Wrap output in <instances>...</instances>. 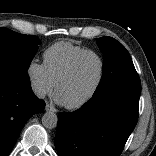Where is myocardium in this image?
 Instances as JSON below:
<instances>
[{
  "mask_svg": "<svg viewBox=\"0 0 156 156\" xmlns=\"http://www.w3.org/2000/svg\"><path fill=\"white\" fill-rule=\"evenodd\" d=\"M87 55H94L99 59L100 62V75L99 78L95 84V86L93 87V89L80 101L73 103V104H64V107L70 110H75V109H79L83 106H85L87 103H89L98 93V91L100 90L104 78H105V72H106V65H105V60L103 58V56L97 52L96 50H92V49H88L85 50L81 53H79L77 56H75L73 58V60L70 62V64L68 65L67 69L65 70V72L59 77V79L56 81L55 83V95H57L58 89L60 88V86L66 82L72 75L77 63L85 56Z\"/></svg>",
  "mask_w": 156,
  "mask_h": 156,
  "instance_id": "f54148a6",
  "label": "myocardium"
}]
</instances>
